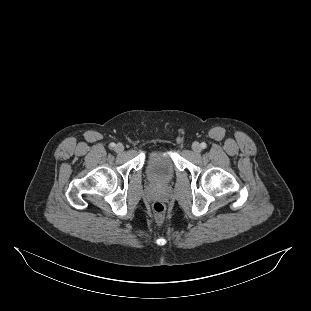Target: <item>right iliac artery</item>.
Returning <instances> with one entry per match:
<instances>
[{
  "label": "right iliac artery",
  "instance_id": "obj_1",
  "mask_svg": "<svg viewBox=\"0 0 311 311\" xmlns=\"http://www.w3.org/2000/svg\"><path fill=\"white\" fill-rule=\"evenodd\" d=\"M109 147L110 148H114L115 147V143H110Z\"/></svg>",
  "mask_w": 311,
  "mask_h": 311
}]
</instances>
